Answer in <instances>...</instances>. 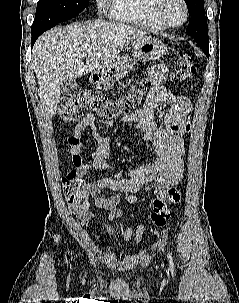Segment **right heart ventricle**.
<instances>
[{
  "instance_id": "1",
  "label": "right heart ventricle",
  "mask_w": 239,
  "mask_h": 303,
  "mask_svg": "<svg viewBox=\"0 0 239 303\" xmlns=\"http://www.w3.org/2000/svg\"><path fill=\"white\" fill-rule=\"evenodd\" d=\"M152 2L153 0H112L110 16L147 30H163L164 27L153 18L150 8Z\"/></svg>"
}]
</instances>
